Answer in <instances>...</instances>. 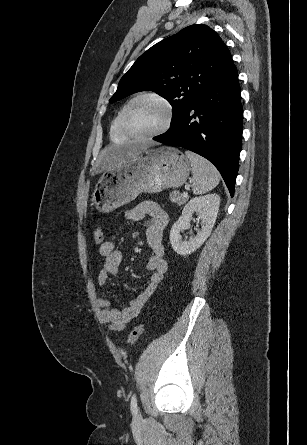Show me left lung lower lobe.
Segmentation results:
<instances>
[{
	"label": "left lung lower lobe",
	"instance_id": "left-lung-lower-lobe-1",
	"mask_svg": "<svg viewBox=\"0 0 307 445\" xmlns=\"http://www.w3.org/2000/svg\"><path fill=\"white\" fill-rule=\"evenodd\" d=\"M192 119L197 121L192 122ZM242 120L238 72L232 61L225 73L193 102L185 114L167 132L153 140L183 147L208 159L221 173L233 197Z\"/></svg>",
	"mask_w": 307,
	"mask_h": 445
}]
</instances>
